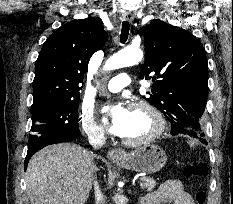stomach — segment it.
Segmentation results:
<instances>
[{
	"label": "stomach",
	"instance_id": "stomach-1",
	"mask_svg": "<svg viewBox=\"0 0 233 204\" xmlns=\"http://www.w3.org/2000/svg\"><path fill=\"white\" fill-rule=\"evenodd\" d=\"M165 151L157 145H147L131 153L124 158L115 161L121 167L139 173L152 174L160 171L166 164Z\"/></svg>",
	"mask_w": 233,
	"mask_h": 204
}]
</instances>
